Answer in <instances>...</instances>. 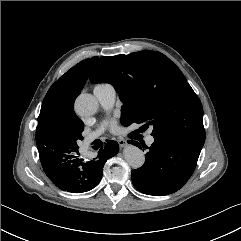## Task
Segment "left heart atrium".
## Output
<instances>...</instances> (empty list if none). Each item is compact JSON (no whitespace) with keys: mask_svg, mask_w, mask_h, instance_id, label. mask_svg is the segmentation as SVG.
Here are the masks:
<instances>
[{"mask_svg":"<svg viewBox=\"0 0 241 241\" xmlns=\"http://www.w3.org/2000/svg\"><path fill=\"white\" fill-rule=\"evenodd\" d=\"M110 129L113 130V131L116 130V125H115V122H114V121H112V122L110 123Z\"/></svg>","mask_w":241,"mask_h":241,"instance_id":"1","label":"left heart atrium"}]
</instances>
